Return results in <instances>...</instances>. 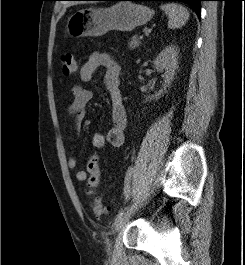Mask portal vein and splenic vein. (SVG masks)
<instances>
[{"label": "portal vein and splenic vein", "instance_id": "portal-vein-and-splenic-vein-1", "mask_svg": "<svg viewBox=\"0 0 245 265\" xmlns=\"http://www.w3.org/2000/svg\"><path fill=\"white\" fill-rule=\"evenodd\" d=\"M144 38V35H140L139 39L142 40Z\"/></svg>", "mask_w": 245, "mask_h": 265}]
</instances>
